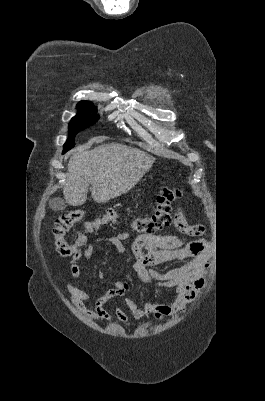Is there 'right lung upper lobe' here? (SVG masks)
<instances>
[{
  "instance_id": "1",
  "label": "right lung upper lobe",
  "mask_w": 265,
  "mask_h": 401,
  "mask_svg": "<svg viewBox=\"0 0 265 401\" xmlns=\"http://www.w3.org/2000/svg\"><path fill=\"white\" fill-rule=\"evenodd\" d=\"M88 105H92V103L89 101H80L77 106H88Z\"/></svg>"
}]
</instances>
